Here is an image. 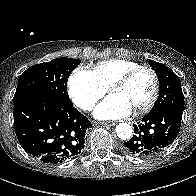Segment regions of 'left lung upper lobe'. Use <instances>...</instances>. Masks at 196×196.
<instances>
[{
	"mask_svg": "<svg viewBox=\"0 0 196 196\" xmlns=\"http://www.w3.org/2000/svg\"><path fill=\"white\" fill-rule=\"evenodd\" d=\"M160 84L159 97L150 112L169 109L183 113L184 95L179 77L166 65L147 59Z\"/></svg>",
	"mask_w": 196,
	"mask_h": 196,
	"instance_id": "1",
	"label": "left lung upper lobe"
}]
</instances>
